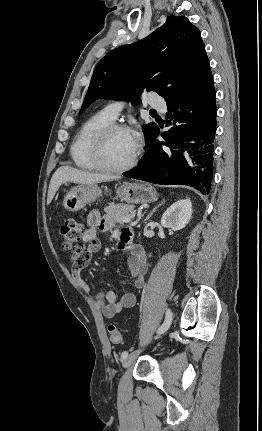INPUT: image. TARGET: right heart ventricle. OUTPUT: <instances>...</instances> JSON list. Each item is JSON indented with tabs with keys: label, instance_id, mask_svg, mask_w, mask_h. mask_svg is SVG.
<instances>
[{
	"label": "right heart ventricle",
	"instance_id": "right-heart-ventricle-1",
	"mask_svg": "<svg viewBox=\"0 0 262 431\" xmlns=\"http://www.w3.org/2000/svg\"><path fill=\"white\" fill-rule=\"evenodd\" d=\"M102 110L89 117L79 128L70 147V155L76 167L85 171H98L92 157L93 142L97 133L113 123Z\"/></svg>",
	"mask_w": 262,
	"mask_h": 431
}]
</instances>
